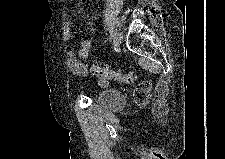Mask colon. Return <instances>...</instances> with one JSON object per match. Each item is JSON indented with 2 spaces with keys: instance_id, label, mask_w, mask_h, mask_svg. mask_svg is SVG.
<instances>
[{
  "instance_id": "5ec220e1",
  "label": "colon",
  "mask_w": 225,
  "mask_h": 159,
  "mask_svg": "<svg viewBox=\"0 0 225 159\" xmlns=\"http://www.w3.org/2000/svg\"><path fill=\"white\" fill-rule=\"evenodd\" d=\"M90 72L100 79L101 83L108 80H115L124 85L133 84L136 81V74L132 71L123 73L119 70L102 66L100 64H92ZM152 84L145 80L140 82L133 91V100L137 105H145L150 99Z\"/></svg>"
}]
</instances>
